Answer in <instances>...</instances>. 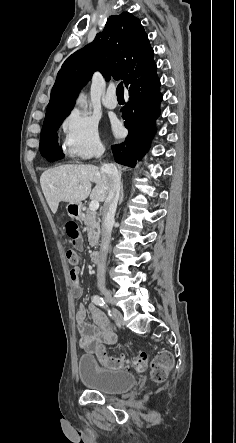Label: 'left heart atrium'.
<instances>
[{"label": "left heart atrium", "mask_w": 236, "mask_h": 443, "mask_svg": "<svg viewBox=\"0 0 236 443\" xmlns=\"http://www.w3.org/2000/svg\"><path fill=\"white\" fill-rule=\"evenodd\" d=\"M113 129H114L115 132H118L120 127H119V125L117 123H114L113 124Z\"/></svg>", "instance_id": "39dd6f15"}]
</instances>
